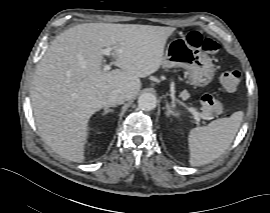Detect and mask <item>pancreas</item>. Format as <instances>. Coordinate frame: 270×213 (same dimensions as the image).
<instances>
[{"instance_id": "1", "label": "pancreas", "mask_w": 270, "mask_h": 213, "mask_svg": "<svg viewBox=\"0 0 270 213\" xmlns=\"http://www.w3.org/2000/svg\"><path fill=\"white\" fill-rule=\"evenodd\" d=\"M181 97H186L188 95L187 91H183L181 94Z\"/></svg>"}]
</instances>
